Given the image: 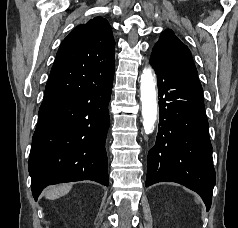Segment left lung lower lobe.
Returning <instances> with one entry per match:
<instances>
[{"label":"left lung lower lobe","mask_w":238,"mask_h":228,"mask_svg":"<svg viewBox=\"0 0 238 228\" xmlns=\"http://www.w3.org/2000/svg\"><path fill=\"white\" fill-rule=\"evenodd\" d=\"M157 74L159 131L148 153L145 186L176 182L197 192L210 209L216 181L212 146L197 73L151 54Z\"/></svg>","instance_id":"obj_1"}]
</instances>
